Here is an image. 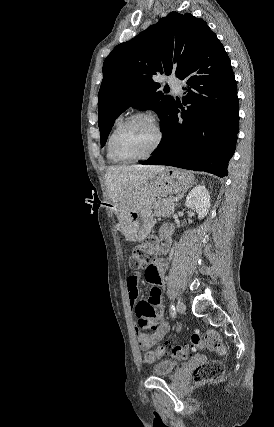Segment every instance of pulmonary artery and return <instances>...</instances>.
I'll return each mask as SVG.
<instances>
[{
    "label": "pulmonary artery",
    "mask_w": 274,
    "mask_h": 427,
    "mask_svg": "<svg viewBox=\"0 0 274 427\" xmlns=\"http://www.w3.org/2000/svg\"><path fill=\"white\" fill-rule=\"evenodd\" d=\"M170 82H174V79H170ZM172 89L174 90L175 93L177 94H181L182 92V86L180 83H174L171 85Z\"/></svg>",
    "instance_id": "obj_1"
}]
</instances>
